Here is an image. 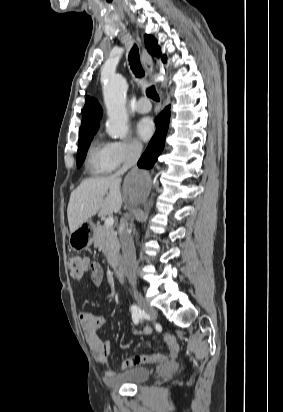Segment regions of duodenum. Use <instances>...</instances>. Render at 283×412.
<instances>
[{"label": "duodenum", "instance_id": "1", "mask_svg": "<svg viewBox=\"0 0 283 412\" xmlns=\"http://www.w3.org/2000/svg\"><path fill=\"white\" fill-rule=\"evenodd\" d=\"M112 268L114 270V274L116 279L122 283L125 281V269H124V264L122 259L118 258L116 259L113 264H112Z\"/></svg>", "mask_w": 283, "mask_h": 412}]
</instances>
